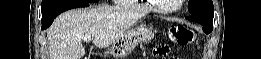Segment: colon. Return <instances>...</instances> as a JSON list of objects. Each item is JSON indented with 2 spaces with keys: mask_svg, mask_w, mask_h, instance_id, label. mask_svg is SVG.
<instances>
[{
  "mask_svg": "<svg viewBox=\"0 0 261 59\" xmlns=\"http://www.w3.org/2000/svg\"><path fill=\"white\" fill-rule=\"evenodd\" d=\"M169 39L174 44L186 46L194 41L195 33L185 26L173 25L169 29ZM170 52L171 49L167 44H158L153 49V56L158 59H166Z\"/></svg>",
  "mask_w": 261,
  "mask_h": 59,
  "instance_id": "colon-1",
  "label": "colon"
}]
</instances>
